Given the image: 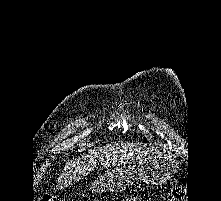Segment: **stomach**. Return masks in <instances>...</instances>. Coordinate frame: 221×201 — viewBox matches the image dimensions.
I'll list each match as a JSON object with an SVG mask.
<instances>
[{
	"mask_svg": "<svg viewBox=\"0 0 221 201\" xmlns=\"http://www.w3.org/2000/svg\"><path fill=\"white\" fill-rule=\"evenodd\" d=\"M177 168L178 161L175 156L156 152L141 158L137 167L122 165L105 172L92 182L90 189L94 193L123 192L137 180L160 185L170 180Z\"/></svg>",
	"mask_w": 221,
	"mask_h": 201,
	"instance_id": "stomach-1",
	"label": "stomach"
}]
</instances>
